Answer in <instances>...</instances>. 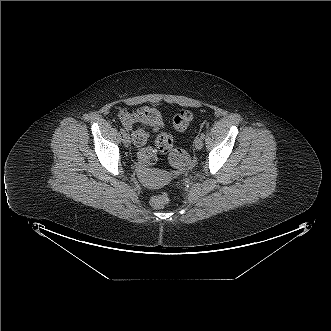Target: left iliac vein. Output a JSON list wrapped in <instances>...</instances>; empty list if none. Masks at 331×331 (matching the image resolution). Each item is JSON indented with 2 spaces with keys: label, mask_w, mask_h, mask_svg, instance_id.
I'll use <instances>...</instances> for the list:
<instances>
[{
  "label": "left iliac vein",
  "mask_w": 331,
  "mask_h": 331,
  "mask_svg": "<svg viewBox=\"0 0 331 331\" xmlns=\"http://www.w3.org/2000/svg\"><path fill=\"white\" fill-rule=\"evenodd\" d=\"M194 145H195V148L197 150L202 149V147H203V140L200 137H196V139L194 141Z\"/></svg>",
  "instance_id": "left-iliac-vein-1"
}]
</instances>
